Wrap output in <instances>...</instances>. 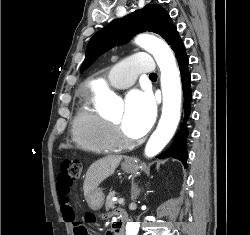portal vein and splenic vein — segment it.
<instances>
[{"label":"portal vein and splenic vein","instance_id":"portal-vein-and-splenic-vein-1","mask_svg":"<svg viewBox=\"0 0 250 235\" xmlns=\"http://www.w3.org/2000/svg\"><path fill=\"white\" fill-rule=\"evenodd\" d=\"M118 203H119V204H123V203H124V199H123V198H120V199L118 200Z\"/></svg>","mask_w":250,"mask_h":235}]
</instances>
